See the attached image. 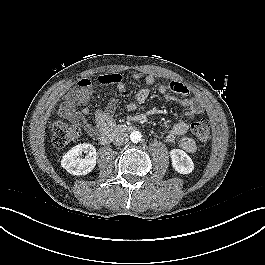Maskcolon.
I'll return each instance as SVG.
<instances>
[{"label":"colon","instance_id":"obj_1","mask_svg":"<svg viewBox=\"0 0 265 265\" xmlns=\"http://www.w3.org/2000/svg\"><path fill=\"white\" fill-rule=\"evenodd\" d=\"M193 135L201 142L208 143L211 133V122L205 117L197 119L191 125ZM80 134L79 128L67 122L64 118H57L53 124V144L56 147H64L75 141Z\"/></svg>","mask_w":265,"mask_h":265}]
</instances>
